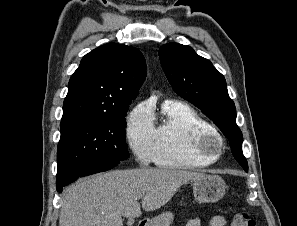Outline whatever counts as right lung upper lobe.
<instances>
[{
	"label": "right lung upper lobe",
	"mask_w": 297,
	"mask_h": 226,
	"mask_svg": "<svg viewBox=\"0 0 297 226\" xmlns=\"http://www.w3.org/2000/svg\"><path fill=\"white\" fill-rule=\"evenodd\" d=\"M145 77L146 63L138 49L117 43L94 49L70 78L61 121L122 115Z\"/></svg>",
	"instance_id": "obj_1"
}]
</instances>
